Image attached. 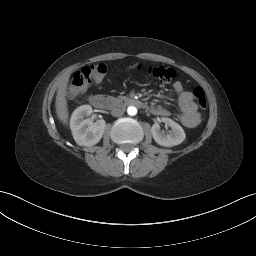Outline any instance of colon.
Masks as SVG:
<instances>
[{"instance_id": "obj_1", "label": "colon", "mask_w": 256, "mask_h": 256, "mask_svg": "<svg viewBox=\"0 0 256 256\" xmlns=\"http://www.w3.org/2000/svg\"><path fill=\"white\" fill-rule=\"evenodd\" d=\"M145 71L161 83H170L176 77L174 69L164 66H150ZM106 74V66L102 63L85 66L76 71L70 81L68 95L70 98L80 96L92 82H99ZM193 101L195 105L205 110L207 107L206 94L203 88L195 87L193 90Z\"/></svg>"}]
</instances>
